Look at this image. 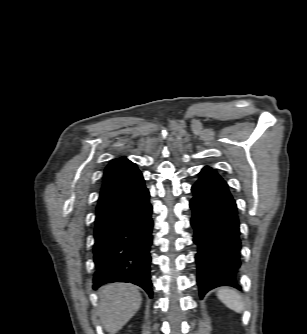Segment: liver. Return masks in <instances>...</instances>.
I'll use <instances>...</instances> for the list:
<instances>
[{
    "mask_svg": "<svg viewBox=\"0 0 307 334\" xmlns=\"http://www.w3.org/2000/svg\"><path fill=\"white\" fill-rule=\"evenodd\" d=\"M99 316L109 334L117 333L139 310L142 297L136 286L112 283L99 290Z\"/></svg>",
    "mask_w": 307,
    "mask_h": 334,
    "instance_id": "6515ba94",
    "label": "liver"
}]
</instances>
